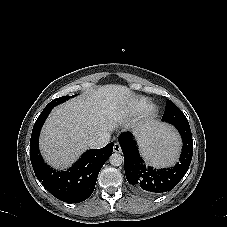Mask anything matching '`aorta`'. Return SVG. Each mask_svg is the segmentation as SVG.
Returning a JSON list of instances; mask_svg holds the SVG:
<instances>
[{
    "instance_id": "aorta-1",
    "label": "aorta",
    "mask_w": 227,
    "mask_h": 227,
    "mask_svg": "<svg viewBox=\"0 0 227 227\" xmlns=\"http://www.w3.org/2000/svg\"><path fill=\"white\" fill-rule=\"evenodd\" d=\"M109 161L112 166H120L124 161V157L119 153H113L110 156Z\"/></svg>"
}]
</instances>
